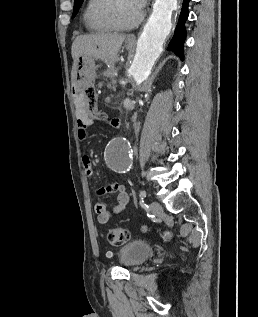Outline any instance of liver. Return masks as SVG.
Masks as SVG:
<instances>
[{
  "label": "liver",
  "instance_id": "6515ba94",
  "mask_svg": "<svg viewBox=\"0 0 258 317\" xmlns=\"http://www.w3.org/2000/svg\"><path fill=\"white\" fill-rule=\"evenodd\" d=\"M127 36L128 34H117V32H92V34L76 36L71 48L74 58L73 68L79 56L100 58L109 68H114L115 56Z\"/></svg>",
  "mask_w": 258,
  "mask_h": 317
}]
</instances>
